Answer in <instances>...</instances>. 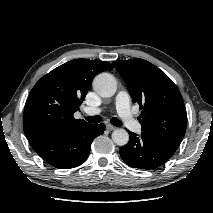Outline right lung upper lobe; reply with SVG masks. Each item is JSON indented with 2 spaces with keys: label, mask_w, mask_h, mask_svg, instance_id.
Masks as SVG:
<instances>
[{
  "label": "right lung upper lobe",
  "mask_w": 213,
  "mask_h": 213,
  "mask_svg": "<svg viewBox=\"0 0 213 213\" xmlns=\"http://www.w3.org/2000/svg\"><path fill=\"white\" fill-rule=\"evenodd\" d=\"M110 69L113 66L106 61L74 59L39 79L25 104V135H63L88 124L73 114L85 100L93 78Z\"/></svg>",
  "instance_id": "cb5924a9"
}]
</instances>
